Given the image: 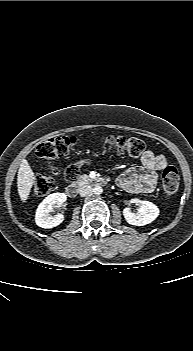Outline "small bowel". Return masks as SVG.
I'll return each instance as SVG.
<instances>
[{"mask_svg":"<svg viewBox=\"0 0 193 351\" xmlns=\"http://www.w3.org/2000/svg\"><path fill=\"white\" fill-rule=\"evenodd\" d=\"M167 160L163 155H156L148 150L141 157V165L126 170L119 178V185L133 194H150L157 185V171L163 169Z\"/></svg>","mask_w":193,"mask_h":351,"instance_id":"small-bowel-1","label":"small bowel"}]
</instances>
